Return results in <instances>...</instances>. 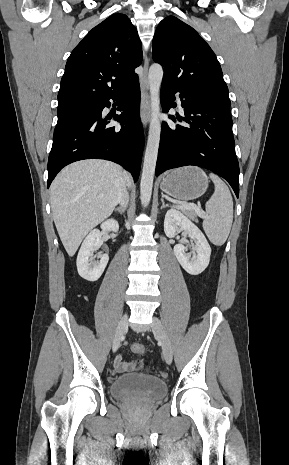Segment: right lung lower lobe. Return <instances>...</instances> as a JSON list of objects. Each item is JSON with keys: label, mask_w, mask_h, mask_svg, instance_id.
Here are the masks:
<instances>
[{"label": "right lung lower lobe", "mask_w": 289, "mask_h": 465, "mask_svg": "<svg viewBox=\"0 0 289 465\" xmlns=\"http://www.w3.org/2000/svg\"><path fill=\"white\" fill-rule=\"evenodd\" d=\"M119 102L120 115L103 116L109 100ZM140 86L138 78L118 94L98 101L95 114L54 133L48 159L49 187L57 173L66 165L83 159H106L131 172L137 181L144 147V135L139 116ZM111 120L120 127H110Z\"/></svg>", "instance_id": "98d812e1"}]
</instances>
